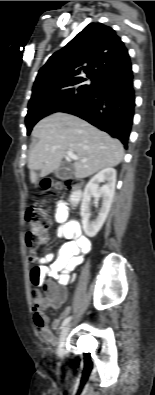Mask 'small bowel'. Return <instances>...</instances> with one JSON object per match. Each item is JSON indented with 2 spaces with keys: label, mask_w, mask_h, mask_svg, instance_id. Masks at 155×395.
Here are the masks:
<instances>
[{
  "label": "small bowel",
  "mask_w": 155,
  "mask_h": 395,
  "mask_svg": "<svg viewBox=\"0 0 155 395\" xmlns=\"http://www.w3.org/2000/svg\"><path fill=\"white\" fill-rule=\"evenodd\" d=\"M55 220L58 226V236L65 242L61 245L56 256L49 254L40 263H34L29 267V281H32V287L35 292H44L43 281L45 277L57 281L61 286H66L71 277V273L82 263L83 255L89 251L90 240L82 234L79 224L75 221H68V208L60 202L55 208ZM38 252V249H35ZM66 293L62 291L58 297L53 299H44L32 308L33 323L40 336L48 341L55 342L53 330H57L61 318L68 310H65L61 318L53 321L49 325L44 310L50 306H58L64 302Z\"/></svg>",
  "instance_id": "obj_1"
}]
</instances>
